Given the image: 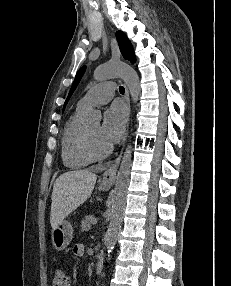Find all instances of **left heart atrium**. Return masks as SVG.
Returning <instances> with one entry per match:
<instances>
[{"label":"left heart atrium","instance_id":"left-heart-atrium-1","mask_svg":"<svg viewBox=\"0 0 231 286\" xmlns=\"http://www.w3.org/2000/svg\"><path fill=\"white\" fill-rule=\"evenodd\" d=\"M126 120V110L120 104L113 105L105 112L102 125L99 129V136L107 146H111L122 138Z\"/></svg>","mask_w":231,"mask_h":286}]
</instances>
